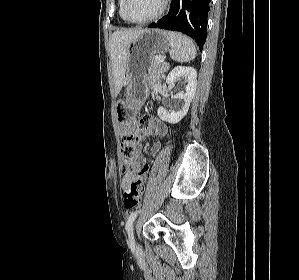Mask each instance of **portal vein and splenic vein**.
Wrapping results in <instances>:
<instances>
[{
    "mask_svg": "<svg viewBox=\"0 0 299 280\" xmlns=\"http://www.w3.org/2000/svg\"><path fill=\"white\" fill-rule=\"evenodd\" d=\"M157 61L161 62L164 64V58L163 57H156L155 58Z\"/></svg>",
    "mask_w": 299,
    "mask_h": 280,
    "instance_id": "1",
    "label": "portal vein and splenic vein"
}]
</instances>
